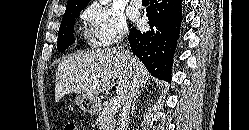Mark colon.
<instances>
[{"label": "colon", "mask_w": 249, "mask_h": 130, "mask_svg": "<svg viewBox=\"0 0 249 130\" xmlns=\"http://www.w3.org/2000/svg\"><path fill=\"white\" fill-rule=\"evenodd\" d=\"M63 130H79V129L73 122H67L64 125Z\"/></svg>", "instance_id": "obj_1"}]
</instances>
